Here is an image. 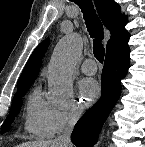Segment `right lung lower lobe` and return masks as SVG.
Instances as JSON below:
<instances>
[{
	"instance_id": "right-lung-lower-lobe-1",
	"label": "right lung lower lobe",
	"mask_w": 145,
	"mask_h": 147,
	"mask_svg": "<svg viewBox=\"0 0 145 147\" xmlns=\"http://www.w3.org/2000/svg\"><path fill=\"white\" fill-rule=\"evenodd\" d=\"M129 34L114 42L106 52L101 77V98L77 122L71 141L77 147H92L108 114L120 96V80L129 67Z\"/></svg>"
}]
</instances>
